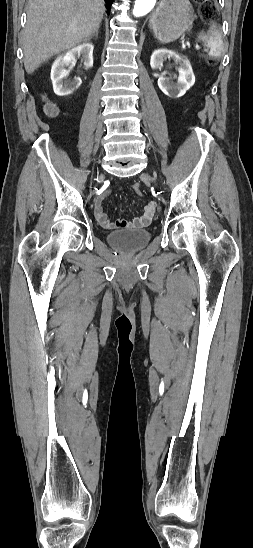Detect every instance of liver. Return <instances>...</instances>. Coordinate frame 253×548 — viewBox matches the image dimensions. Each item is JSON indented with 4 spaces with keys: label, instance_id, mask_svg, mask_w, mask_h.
I'll use <instances>...</instances> for the list:
<instances>
[{
    "label": "liver",
    "instance_id": "1",
    "mask_svg": "<svg viewBox=\"0 0 253 548\" xmlns=\"http://www.w3.org/2000/svg\"><path fill=\"white\" fill-rule=\"evenodd\" d=\"M103 0H29L23 32L24 67L32 74L43 62L87 41L98 31Z\"/></svg>",
    "mask_w": 253,
    "mask_h": 548
}]
</instances>
